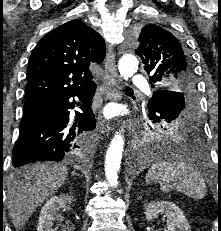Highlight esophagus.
<instances>
[{
    "label": "esophagus",
    "instance_id": "34e87169",
    "mask_svg": "<svg viewBox=\"0 0 221 231\" xmlns=\"http://www.w3.org/2000/svg\"><path fill=\"white\" fill-rule=\"evenodd\" d=\"M117 82V69H116V62H115V54L113 51V47L110 45L108 48V52L106 54L105 60V75H104V86L106 89V97L108 99H116L118 98V91L116 88ZM99 127L103 134L108 135L111 126L108 122L99 118Z\"/></svg>",
    "mask_w": 221,
    "mask_h": 231
}]
</instances>
